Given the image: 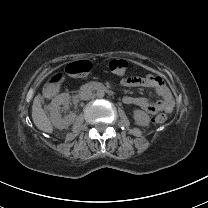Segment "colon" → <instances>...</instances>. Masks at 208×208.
<instances>
[{
	"label": "colon",
	"instance_id": "obj_1",
	"mask_svg": "<svg viewBox=\"0 0 208 208\" xmlns=\"http://www.w3.org/2000/svg\"><path fill=\"white\" fill-rule=\"evenodd\" d=\"M127 69V62L123 59H114L109 63V70L114 74L122 75ZM66 72L68 75L73 76L74 73L77 76H82L83 74H88L92 70V65L88 61H82L77 63L74 67L69 64L66 67ZM167 121V116L165 114H159L154 117L153 123L156 126L164 125Z\"/></svg>",
	"mask_w": 208,
	"mask_h": 208
}]
</instances>
